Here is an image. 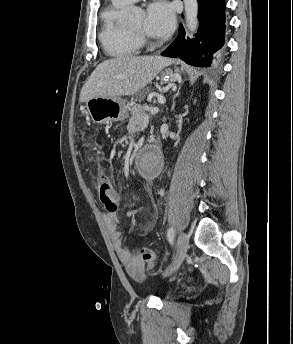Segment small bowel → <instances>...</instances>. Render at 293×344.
<instances>
[{"label":"small bowel","instance_id":"obj_1","mask_svg":"<svg viewBox=\"0 0 293 344\" xmlns=\"http://www.w3.org/2000/svg\"><path fill=\"white\" fill-rule=\"evenodd\" d=\"M104 221L108 228L111 240L116 251V254L131 275L137 279L141 278L143 275V262L140 258L130 253L123 244V236L119 230L118 224V212L116 210L109 211L104 214ZM155 225V221L147 224L146 228L151 229Z\"/></svg>","mask_w":293,"mask_h":344}]
</instances>
